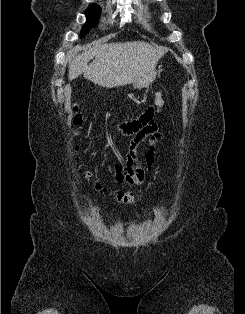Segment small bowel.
Returning a JSON list of instances; mask_svg holds the SVG:
<instances>
[{"mask_svg": "<svg viewBox=\"0 0 245 314\" xmlns=\"http://www.w3.org/2000/svg\"><path fill=\"white\" fill-rule=\"evenodd\" d=\"M163 104V91L159 90L155 93L151 104H149L143 112L135 117L126 119L120 125L101 129L102 132L107 134L114 132L123 134L136 133L130 150L125 152L119 160L113 163L116 182L138 186L149 178L155 155L158 153V143L162 139V135L158 133L155 118L161 112ZM147 137H151V141L146 155L147 169L145 170L140 164L136 147ZM91 138L94 139L95 135H92Z\"/></svg>", "mask_w": 245, "mask_h": 314, "instance_id": "small-bowel-1", "label": "small bowel"}]
</instances>
